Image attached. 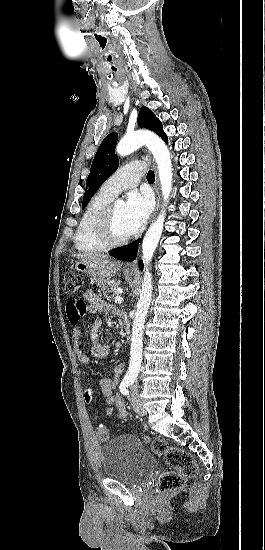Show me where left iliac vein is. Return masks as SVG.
Returning a JSON list of instances; mask_svg holds the SVG:
<instances>
[{"instance_id": "obj_1", "label": "left iliac vein", "mask_w": 265, "mask_h": 550, "mask_svg": "<svg viewBox=\"0 0 265 550\" xmlns=\"http://www.w3.org/2000/svg\"><path fill=\"white\" fill-rule=\"evenodd\" d=\"M131 403L134 411L139 414L140 416L146 415V410L142 405V402L140 400V396L136 393H133L131 396Z\"/></svg>"}]
</instances>
